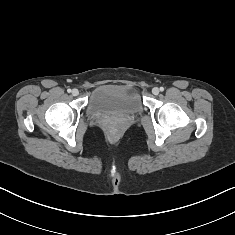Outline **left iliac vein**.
<instances>
[{
    "label": "left iliac vein",
    "instance_id": "4c4485c4",
    "mask_svg": "<svg viewBox=\"0 0 235 235\" xmlns=\"http://www.w3.org/2000/svg\"><path fill=\"white\" fill-rule=\"evenodd\" d=\"M152 93H153L154 95H158V94H159V88L154 87V88L152 89Z\"/></svg>",
    "mask_w": 235,
    "mask_h": 235
}]
</instances>
